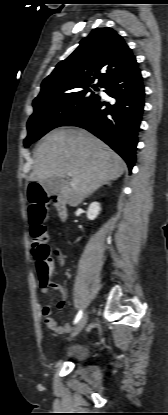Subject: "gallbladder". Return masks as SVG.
Wrapping results in <instances>:
<instances>
[{
  "mask_svg": "<svg viewBox=\"0 0 168 415\" xmlns=\"http://www.w3.org/2000/svg\"><path fill=\"white\" fill-rule=\"evenodd\" d=\"M40 184L47 194L52 195L57 194L61 190L63 180L59 177H50L42 180Z\"/></svg>",
  "mask_w": 168,
  "mask_h": 415,
  "instance_id": "obj_1",
  "label": "gallbladder"
}]
</instances>
